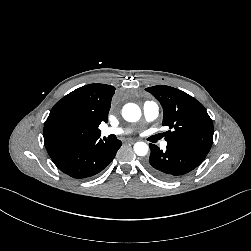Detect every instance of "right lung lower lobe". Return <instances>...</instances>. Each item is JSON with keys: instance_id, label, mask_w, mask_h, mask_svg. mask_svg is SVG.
<instances>
[{"instance_id": "1", "label": "right lung lower lobe", "mask_w": 251, "mask_h": 251, "mask_svg": "<svg viewBox=\"0 0 251 251\" xmlns=\"http://www.w3.org/2000/svg\"><path fill=\"white\" fill-rule=\"evenodd\" d=\"M121 145L119 140L85 139L61 146L50 157L62 172L82 179L102 171L114 159Z\"/></svg>"}]
</instances>
